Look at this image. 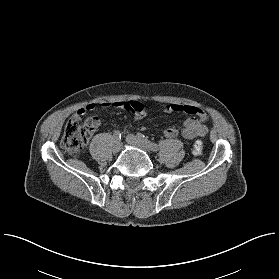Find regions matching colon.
<instances>
[{
	"instance_id": "1",
	"label": "colon",
	"mask_w": 279,
	"mask_h": 279,
	"mask_svg": "<svg viewBox=\"0 0 279 279\" xmlns=\"http://www.w3.org/2000/svg\"><path fill=\"white\" fill-rule=\"evenodd\" d=\"M124 107L126 110L134 113H140L143 109L142 104L138 101L127 102L124 104ZM99 124L100 120L96 117H89L84 122L77 118L70 117L66 121L63 129V136L61 139L62 150L73 156H79ZM202 150V141H195L192 147L193 154L199 155L202 153Z\"/></svg>"
}]
</instances>
